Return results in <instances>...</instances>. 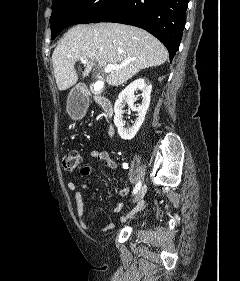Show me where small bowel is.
Masks as SVG:
<instances>
[{
    "label": "small bowel",
    "instance_id": "1",
    "mask_svg": "<svg viewBox=\"0 0 240 281\" xmlns=\"http://www.w3.org/2000/svg\"><path fill=\"white\" fill-rule=\"evenodd\" d=\"M90 157L93 160L102 162L103 165L110 170H114L118 167V163L115 159H113L108 152L106 151H99V150H91L90 152ZM92 167L90 165H85L83 167L80 168L79 170V174L82 177H87L90 176L92 174ZM67 188L69 191H71L74 195V199H75V203H76V211H77V217L79 222L81 223L82 227L88 231L91 232H108L112 229H114L115 224L113 222H109L107 224H105L102 227H97L95 225L92 224H86L85 220H84V215H85V210H84V202H83V197H82V193L81 190L79 189L78 185L73 182V181H69L67 183ZM82 188H86V185L84 184L82 186ZM117 194L119 196H127L130 192L129 188H118L116 190ZM144 207V202H141L131 213L121 216L120 217V221L121 222H125L133 213H136L137 211H139L140 209H142ZM123 208V204L119 203L117 204L113 209L112 212L113 213H119Z\"/></svg>",
    "mask_w": 240,
    "mask_h": 281
}]
</instances>
